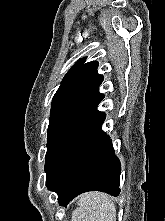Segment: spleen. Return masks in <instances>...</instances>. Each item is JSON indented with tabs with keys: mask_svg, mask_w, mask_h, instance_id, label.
Returning <instances> with one entry per match:
<instances>
[{
	"mask_svg": "<svg viewBox=\"0 0 165 221\" xmlns=\"http://www.w3.org/2000/svg\"><path fill=\"white\" fill-rule=\"evenodd\" d=\"M72 221H116V207L110 197L100 192H89L79 197Z\"/></svg>",
	"mask_w": 165,
	"mask_h": 221,
	"instance_id": "obj_1",
	"label": "spleen"
}]
</instances>
